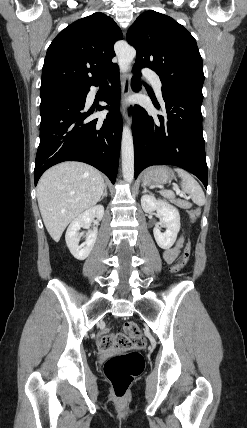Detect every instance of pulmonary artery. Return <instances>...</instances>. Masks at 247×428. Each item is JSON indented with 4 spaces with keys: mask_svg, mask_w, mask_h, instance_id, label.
Returning <instances> with one entry per match:
<instances>
[{
    "mask_svg": "<svg viewBox=\"0 0 247 428\" xmlns=\"http://www.w3.org/2000/svg\"><path fill=\"white\" fill-rule=\"evenodd\" d=\"M143 75L148 78L150 81H152L155 91L158 95H161V87H162V83L160 81V79L158 78V76L151 70L149 69H144L143 70Z\"/></svg>",
    "mask_w": 247,
    "mask_h": 428,
    "instance_id": "obj_1",
    "label": "pulmonary artery"
}]
</instances>
